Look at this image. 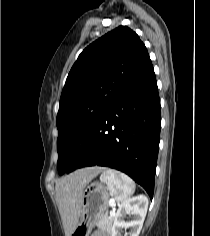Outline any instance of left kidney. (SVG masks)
I'll return each mask as SVG.
<instances>
[{
  "label": "left kidney",
  "mask_w": 210,
  "mask_h": 236,
  "mask_svg": "<svg viewBox=\"0 0 210 236\" xmlns=\"http://www.w3.org/2000/svg\"><path fill=\"white\" fill-rule=\"evenodd\" d=\"M148 209V199L145 195H138L124 201L118 208L114 216L111 229V236H120V231L124 228H131L129 236H138ZM129 215L131 221L125 222L124 218ZM126 236V235H125Z\"/></svg>",
  "instance_id": "left-kidney-1"
}]
</instances>
